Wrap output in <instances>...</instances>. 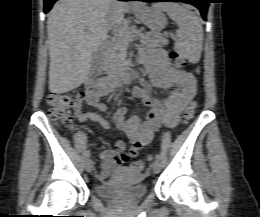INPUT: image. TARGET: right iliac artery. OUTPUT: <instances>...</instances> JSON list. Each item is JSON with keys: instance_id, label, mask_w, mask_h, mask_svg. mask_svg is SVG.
<instances>
[{"instance_id": "right-iliac-artery-1", "label": "right iliac artery", "mask_w": 260, "mask_h": 217, "mask_svg": "<svg viewBox=\"0 0 260 217\" xmlns=\"http://www.w3.org/2000/svg\"><path fill=\"white\" fill-rule=\"evenodd\" d=\"M90 155H91V152H90V150H88V151L86 152V154H85L86 159H88V158L90 157Z\"/></svg>"}]
</instances>
